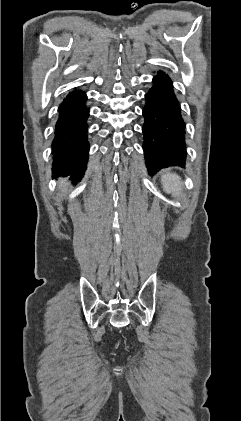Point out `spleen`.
<instances>
[{
    "label": "spleen",
    "mask_w": 241,
    "mask_h": 421,
    "mask_svg": "<svg viewBox=\"0 0 241 421\" xmlns=\"http://www.w3.org/2000/svg\"><path fill=\"white\" fill-rule=\"evenodd\" d=\"M161 183L164 192L172 194L173 197L179 196L182 190L181 178L173 173H165L162 175Z\"/></svg>",
    "instance_id": "obj_1"
}]
</instances>
